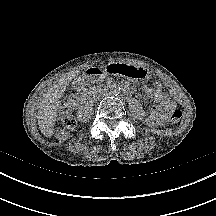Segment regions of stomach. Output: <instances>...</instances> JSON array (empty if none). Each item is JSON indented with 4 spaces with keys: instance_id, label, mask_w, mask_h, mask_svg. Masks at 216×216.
<instances>
[{
    "instance_id": "obj_1",
    "label": "stomach",
    "mask_w": 216,
    "mask_h": 216,
    "mask_svg": "<svg viewBox=\"0 0 216 216\" xmlns=\"http://www.w3.org/2000/svg\"><path fill=\"white\" fill-rule=\"evenodd\" d=\"M107 71L110 74H117L120 79L127 78L134 83H146L149 79L148 71L136 65L128 66L124 63L113 62L108 64Z\"/></svg>"
}]
</instances>
